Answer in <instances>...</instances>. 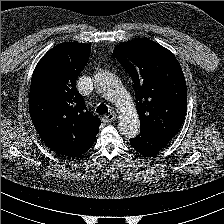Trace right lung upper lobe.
Returning a JSON list of instances; mask_svg holds the SVG:
<instances>
[{
  "label": "right lung upper lobe",
  "mask_w": 224,
  "mask_h": 224,
  "mask_svg": "<svg viewBox=\"0 0 224 224\" xmlns=\"http://www.w3.org/2000/svg\"><path fill=\"white\" fill-rule=\"evenodd\" d=\"M90 53L89 44L61 43L42 57L31 80L29 112L38 134L58 154L72 158L89 149L101 125L75 84Z\"/></svg>",
  "instance_id": "cb5924a9"
}]
</instances>
